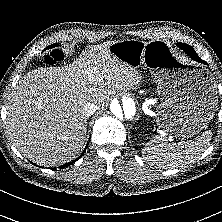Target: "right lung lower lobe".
<instances>
[{
	"instance_id": "98d812e1",
	"label": "right lung lower lobe",
	"mask_w": 222,
	"mask_h": 222,
	"mask_svg": "<svg viewBox=\"0 0 222 222\" xmlns=\"http://www.w3.org/2000/svg\"><path fill=\"white\" fill-rule=\"evenodd\" d=\"M86 148H87V146H86ZM86 148L84 149V151H83V153L81 154V156L84 155V153H85V151H86ZM81 156H80V157H81ZM80 157H79V158H80ZM79 158H78V159H79ZM78 159L72 161L71 163L67 164L66 166H69L70 164H73V163H74L75 161H77ZM64 166H65V165H64Z\"/></svg>"
}]
</instances>
